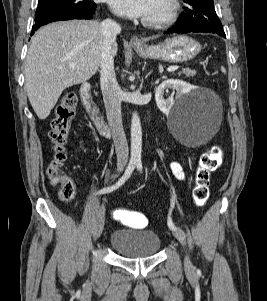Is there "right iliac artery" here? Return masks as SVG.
Returning a JSON list of instances; mask_svg holds the SVG:
<instances>
[{
  "mask_svg": "<svg viewBox=\"0 0 267 301\" xmlns=\"http://www.w3.org/2000/svg\"><path fill=\"white\" fill-rule=\"evenodd\" d=\"M135 165H136V162L134 161H130L126 170H125V173L123 174V176L119 179V181L113 185V186H110V187H106V188H103L101 190H99L97 192V194H106V193H110L114 190H116L117 188H119L122 184L125 183L126 180L129 179V177L131 176L132 172L134 171L135 169Z\"/></svg>",
  "mask_w": 267,
  "mask_h": 301,
  "instance_id": "1",
  "label": "right iliac artery"
}]
</instances>
